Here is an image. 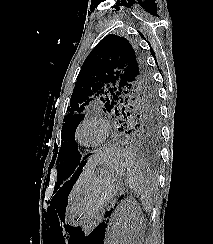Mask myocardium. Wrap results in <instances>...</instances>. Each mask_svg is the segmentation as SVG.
<instances>
[{
  "label": "myocardium",
  "instance_id": "f54148a6",
  "mask_svg": "<svg viewBox=\"0 0 213 244\" xmlns=\"http://www.w3.org/2000/svg\"><path fill=\"white\" fill-rule=\"evenodd\" d=\"M92 123L100 125V127L102 129V136L100 137L99 140H97L93 143H87V142H84L80 138V131L85 125L92 124ZM110 131H111V126H110V122L107 118H105L104 116H102L100 114H90V115L85 116L78 123L76 130H75V139L77 140V142L79 144H81L83 146L96 147V146L103 144L108 139V137L110 135Z\"/></svg>",
  "mask_w": 213,
  "mask_h": 244
}]
</instances>
